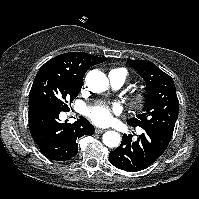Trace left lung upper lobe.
I'll return each instance as SVG.
<instances>
[{"mask_svg": "<svg viewBox=\"0 0 199 199\" xmlns=\"http://www.w3.org/2000/svg\"><path fill=\"white\" fill-rule=\"evenodd\" d=\"M127 63L145 80L148 90L143 113L129 119L128 124L158 130L172 137L179 113L173 79L150 61L135 60Z\"/></svg>", "mask_w": 199, "mask_h": 199, "instance_id": "left-lung-upper-lobe-1", "label": "left lung upper lobe"}]
</instances>
